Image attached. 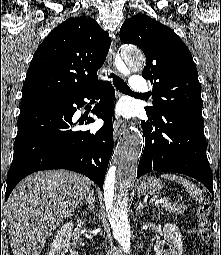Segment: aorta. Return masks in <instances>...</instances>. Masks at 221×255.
<instances>
[{
    "label": "aorta",
    "instance_id": "762f6f07",
    "mask_svg": "<svg viewBox=\"0 0 221 255\" xmlns=\"http://www.w3.org/2000/svg\"><path fill=\"white\" fill-rule=\"evenodd\" d=\"M121 68L129 67L140 71L145 66L142 53L134 47L121 50ZM144 142L138 131L123 137L116 150L115 163L109 168L104 183V199L113 236L125 253L131 246V228L128 220V197L130 188L136 178L138 159L141 157Z\"/></svg>",
    "mask_w": 221,
    "mask_h": 255
}]
</instances>
